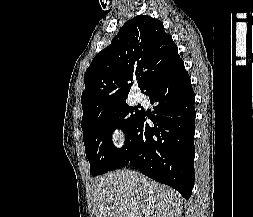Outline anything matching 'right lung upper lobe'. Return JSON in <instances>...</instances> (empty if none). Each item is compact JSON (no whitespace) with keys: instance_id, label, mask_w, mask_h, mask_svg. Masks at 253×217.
<instances>
[{"instance_id":"1","label":"right lung upper lobe","mask_w":253,"mask_h":217,"mask_svg":"<svg viewBox=\"0 0 253 217\" xmlns=\"http://www.w3.org/2000/svg\"><path fill=\"white\" fill-rule=\"evenodd\" d=\"M180 61L177 46L159 20L139 15L127 21L85 72L82 124L126 102L135 78L145 93L155 80Z\"/></svg>"}]
</instances>
